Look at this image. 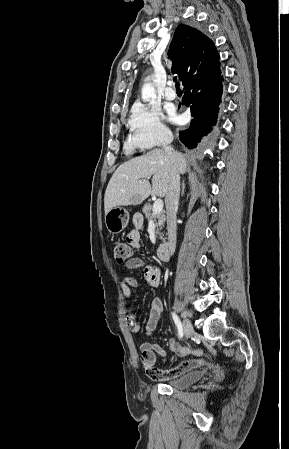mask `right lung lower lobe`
Segmentation results:
<instances>
[{
    "mask_svg": "<svg viewBox=\"0 0 289 449\" xmlns=\"http://www.w3.org/2000/svg\"><path fill=\"white\" fill-rule=\"evenodd\" d=\"M184 86L186 91L182 104L190 107L193 119L187 130L179 132V138L185 146L192 149L203 136L211 132L212 126L217 122L222 96L220 65Z\"/></svg>",
    "mask_w": 289,
    "mask_h": 449,
    "instance_id": "obj_1",
    "label": "right lung lower lobe"
}]
</instances>
